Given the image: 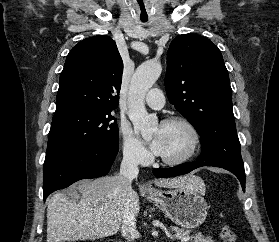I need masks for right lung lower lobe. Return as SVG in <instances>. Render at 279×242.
<instances>
[{"mask_svg":"<svg viewBox=\"0 0 279 242\" xmlns=\"http://www.w3.org/2000/svg\"><path fill=\"white\" fill-rule=\"evenodd\" d=\"M118 146L73 150L45 161L43 198L84 178L106 175L118 153Z\"/></svg>","mask_w":279,"mask_h":242,"instance_id":"1","label":"right lung lower lobe"}]
</instances>
